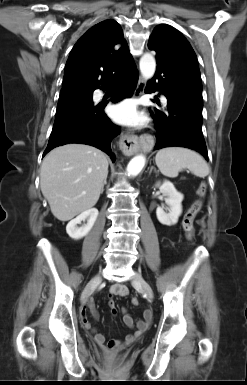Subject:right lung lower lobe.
I'll return each instance as SVG.
<instances>
[{"mask_svg": "<svg viewBox=\"0 0 247 385\" xmlns=\"http://www.w3.org/2000/svg\"><path fill=\"white\" fill-rule=\"evenodd\" d=\"M137 80L138 73L135 65L132 64L114 80L117 83V90L111 100L117 102L131 97ZM105 106V104L95 106L93 102L81 103L57 112L43 156L55 147L69 143H82L101 149L114 161L115 155L111 151L110 144L112 139L120 133V129L104 114Z\"/></svg>", "mask_w": 247, "mask_h": 385, "instance_id": "1", "label": "right lung lower lobe"}]
</instances>
